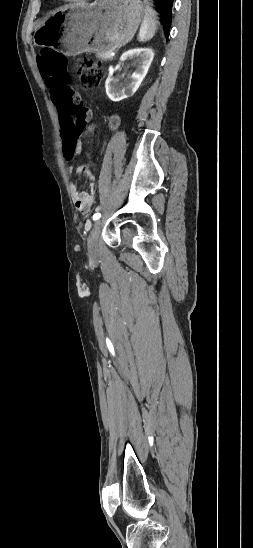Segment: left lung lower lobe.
Returning a JSON list of instances; mask_svg holds the SVG:
<instances>
[{
  "mask_svg": "<svg viewBox=\"0 0 253 548\" xmlns=\"http://www.w3.org/2000/svg\"><path fill=\"white\" fill-rule=\"evenodd\" d=\"M158 4L159 13L162 16V25L166 34L168 33L172 21V7L174 0H153Z\"/></svg>",
  "mask_w": 253,
  "mask_h": 548,
  "instance_id": "left-lung-lower-lobe-1",
  "label": "left lung lower lobe"
}]
</instances>
